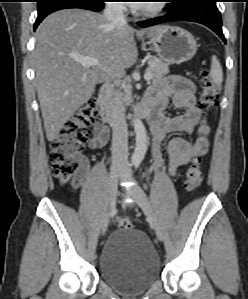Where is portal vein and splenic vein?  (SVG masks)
Returning a JSON list of instances; mask_svg holds the SVG:
<instances>
[{
    "label": "portal vein and splenic vein",
    "mask_w": 248,
    "mask_h": 299,
    "mask_svg": "<svg viewBox=\"0 0 248 299\" xmlns=\"http://www.w3.org/2000/svg\"><path fill=\"white\" fill-rule=\"evenodd\" d=\"M74 59L84 67H99V68H102L104 71H107L109 73L111 72L108 69H106V67H102L99 60L96 58L79 56V57H74ZM116 76H118V75H116ZM144 79L146 81H150L151 74L149 72H146L144 75Z\"/></svg>",
    "instance_id": "1"
}]
</instances>
